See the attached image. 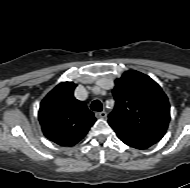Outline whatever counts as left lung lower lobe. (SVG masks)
Segmentation results:
<instances>
[{
    "mask_svg": "<svg viewBox=\"0 0 190 188\" xmlns=\"http://www.w3.org/2000/svg\"><path fill=\"white\" fill-rule=\"evenodd\" d=\"M118 138L130 147L146 149L162 139L158 134H149L131 130L118 125H110Z\"/></svg>",
    "mask_w": 190,
    "mask_h": 188,
    "instance_id": "obj_1",
    "label": "left lung lower lobe"
}]
</instances>
